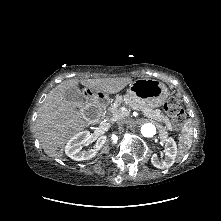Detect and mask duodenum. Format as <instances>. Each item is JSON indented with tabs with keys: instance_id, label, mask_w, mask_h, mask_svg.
I'll use <instances>...</instances> for the list:
<instances>
[{
	"instance_id": "obj_1",
	"label": "duodenum",
	"mask_w": 221,
	"mask_h": 221,
	"mask_svg": "<svg viewBox=\"0 0 221 221\" xmlns=\"http://www.w3.org/2000/svg\"><path fill=\"white\" fill-rule=\"evenodd\" d=\"M82 95L86 98V105L88 107V110L85 111V115L91 119L95 118L98 111L102 109L101 104L113 100V93L111 91H107L104 88H93L92 86H84L82 88ZM95 107L97 110H92Z\"/></svg>"
}]
</instances>
